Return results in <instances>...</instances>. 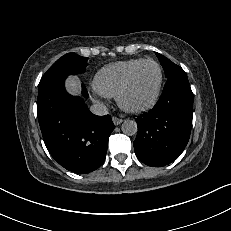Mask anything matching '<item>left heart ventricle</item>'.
<instances>
[{
	"mask_svg": "<svg viewBox=\"0 0 231 231\" xmlns=\"http://www.w3.org/2000/svg\"><path fill=\"white\" fill-rule=\"evenodd\" d=\"M159 80V72L153 63L142 65L134 75L125 94V102L137 107L147 103L153 96Z\"/></svg>",
	"mask_w": 231,
	"mask_h": 231,
	"instance_id": "1",
	"label": "left heart ventricle"
}]
</instances>
